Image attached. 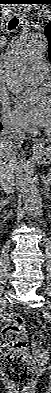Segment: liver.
Returning <instances> with one entry per match:
<instances>
[{"label": "liver", "instance_id": "obj_1", "mask_svg": "<svg viewBox=\"0 0 51 393\" xmlns=\"http://www.w3.org/2000/svg\"><path fill=\"white\" fill-rule=\"evenodd\" d=\"M1 163H5V165H11L13 171L19 170L20 168V163L16 154H14L13 152L5 151L0 146V167Z\"/></svg>", "mask_w": 51, "mask_h": 393}]
</instances>
